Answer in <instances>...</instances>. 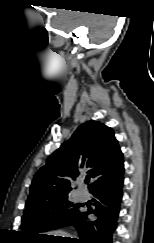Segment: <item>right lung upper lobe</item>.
I'll use <instances>...</instances> for the list:
<instances>
[{"mask_svg":"<svg viewBox=\"0 0 154 243\" xmlns=\"http://www.w3.org/2000/svg\"><path fill=\"white\" fill-rule=\"evenodd\" d=\"M122 165L123 154L113 130L100 122L88 121L35 174L25 208L67 196L71 180L83 169L93 179L91 187Z\"/></svg>","mask_w":154,"mask_h":243,"instance_id":"right-lung-upper-lobe-1","label":"right lung upper lobe"}]
</instances>
